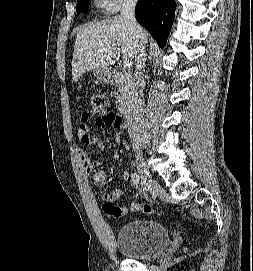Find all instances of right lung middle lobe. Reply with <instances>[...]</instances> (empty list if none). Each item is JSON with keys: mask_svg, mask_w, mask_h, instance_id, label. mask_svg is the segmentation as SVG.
<instances>
[{"mask_svg": "<svg viewBox=\"0 0 253 271\" xmlns=\"http://www.w3.org/2000/svg\"><path fill=\"white\" fill-rule=\"evenodd\" d=\"M88 8V0H77V13L85 12Z\"/></svg>", "mask_w": 253, "mask_h": 271, "instance_id": "right-lung-middle-lobe-1", "label": "right lung middle lobe"}]
</instances>
